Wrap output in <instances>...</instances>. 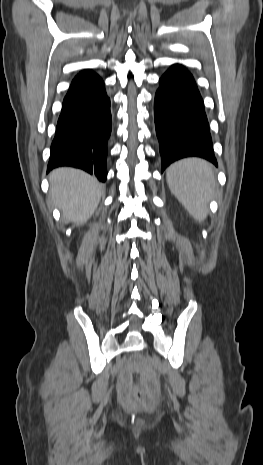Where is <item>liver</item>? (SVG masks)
Masks as SVG:
<instances>
[{"label":"liver","mask_w":263,"mask_h":465,"mask_svg":"<svg viewBox=\"0 0 263 465\" xmlns=\"http://www.w3.org/2000/svg\"><path fill=\"white\" fill-rule=\"evenodd\" d=\"M50 196L63 217L77 225L84 224L97 208L102 186L84 171L62 167L49 174Z\"/></svg>","instance_id":"liver-1"}]
</instances>
